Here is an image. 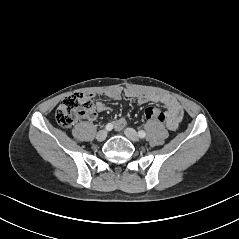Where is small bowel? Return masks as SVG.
<instances>
[{"mask_svg":"<svg viewBox=\"0 0 239 239\" xmlns=\"http://www.w3.org/2000/svg\"><path fill=\"white\" fill-rule=\"evenodd\" d=\"M106 95L111 99L119 100L122 96V92L118 89H115L108 91ZM125 95L129 98L135 99L139 104H144L148 102L163 104L166 108L164 121L169 130H176L182 120L183 109L181 105L175 98L169 95L158 93L143 94L132 90L126 91ZM108 110H110V108L106 104L98 102L95 105V112L88 115V119L93 120L96 118L97 113L106 112ZM125 125L126 120L124 118H119L114 121V128L116 130H122Z\"/></svg>","mask_w":239,"mask_h":239,"instance_id":"obj_1","label":"small bowel"}]
</instances>
